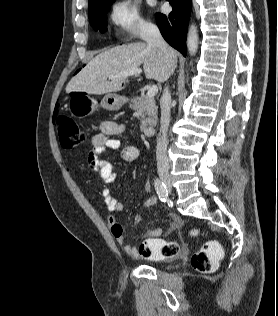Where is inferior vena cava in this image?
Returning <instances> with one entry per match:
<instances>
[{
  "label": "inferior vena cava",
  "mask_w": 278,
  "mask_h": 316,
  "mask_svg": "<svg viewBox=\"0 0 278 316\" xmlns=\"http://www.w3.org/2000/svg\"><path fill=\"white\" fill-rule=\"evenodd\" d=\"M141 36L148 45L155 46L160 50V52L166 59L168 58L171 48L164 41L156 25H154L153 23H145L142 28ZM170 103L171 95L168 87H165L160 99V133L162 134V136L158 139L156 146L157 169L159 173L169 171V159L167 156V131L170 123Z\"/></svg>",
  "instance_id": "602c4592"
}]
</instances>
